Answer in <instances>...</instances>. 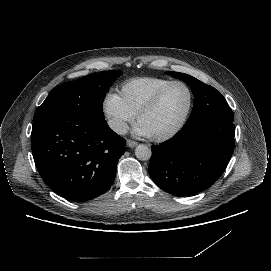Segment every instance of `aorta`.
Segmentation results:
<instances>
[{"label":"aorta","instance_id":"obj_1","mask_svg":"<svg viewBox=\"0 0 271 271\" xmlns=\"http://www.w3.org/2000/svg\"><path fill=\"white\" fill-rule=\"evenodd\" d=\"M135 155L137 159L141 161H147L152 157L151 149L146 145H138L135 149Z\"/></svg>","mask_w":271,"mask_h":271}]
</instances>
